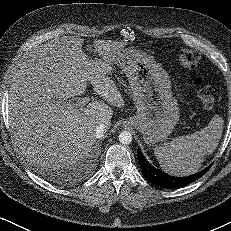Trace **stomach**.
<instances>
[{
    "instance_id": "stomach-1",
    "label": "stomach",
    "mask_w": 231,
    "mask_h": 231,
    "mask_svg": "<svg viewBox=\"0 0 231 231\" xmlns=\"http://www.w3.org/2000/svg\"><path fill=\"white\" fill-rule=\"evenodd\" d=\"M114 63L126 73L137 108L136 115L126 119L124 126L141 132L148 146L163 141L179 119L167 72L153 57L132 48L118 50Z\"/></svg>"
}]
</instances>
